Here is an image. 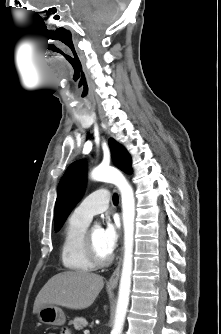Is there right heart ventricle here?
Returning a JSON list of instances; mask_svg holds the SVG:
<instances>
[{
  "instance_id": "e07e8e85",
  "label": "right heart ventricle",
  "mask_w": 221,
  "mask_h": 334,
  "mask_svg": "<svg viewBox=\"0 0 221 334\" xmlns=\"http://www.w3.org/2000/svg\"><path fill=\"white\" fill-rule=\"evenodd\" d=\"M89 222L72 214L63 230L61 242V261L63 266L73 272L86 273L95 269L84 249V234Z\"/></svg>"
}]
</instances>
